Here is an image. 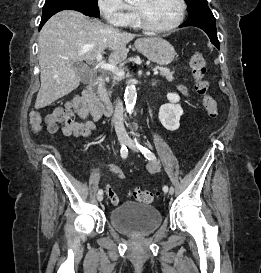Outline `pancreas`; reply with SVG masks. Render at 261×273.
Wrapping results in <instances>:
<instances>
[{"instance_id": "1", "label": "pancreas", "mask_w": 261, "mask_h": 273, "mask_svg": "<svg viewBox=\"0 0 261 273\" xmlns=\"http://www.w3.org/2000/svg\"><path fill=\"white\" fill-rule=\"evenodd\" d=\"M156 70H159L160 75L163 76V77H166V79L168 81H173L174 80L173 71H170L169 69L164 68V67H156ZM122 79H123V77H119V76H116V75L113 76L112 86L116 85L117 82L121 81Z\"/></svg>"}]
</instances>
